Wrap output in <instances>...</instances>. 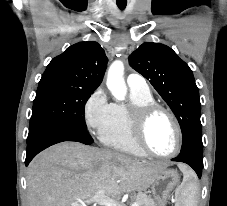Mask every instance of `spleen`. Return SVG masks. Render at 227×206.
I'll use <instances>...</instances> for the list:
<instances>
[{"instance_id":"3e777b00","label":"spleen","mask_w":227,"mask_h":206,"mask_svg":"<svg viewBox=\"0 0 227 206\" xmlns=\"http://www.w3.org/2000/svg\"><path fill=\"white\" fill-rule=\"evenodd\" d=\"M184 179L182 184L175 192L177 206H196V199L198 194V185L196 182L190 180L191 172L182 169Z\"/></svg>"}]
</instances>
